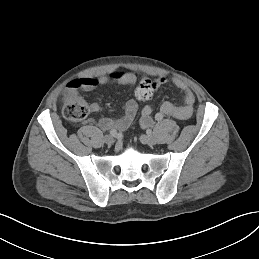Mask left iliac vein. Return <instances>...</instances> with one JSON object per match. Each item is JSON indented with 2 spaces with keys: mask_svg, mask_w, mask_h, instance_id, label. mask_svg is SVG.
<instances>
[{
  "mask_svg": "<svg viewBox=\"0 0 259 259\" xmlns=\"http://www.w3.org/2000/svg\"><path fill=\"white\" fill-rule=\"evenodd\" d=\"M141 140H142L143 143H145L149 146H153L157 143L156 137L152 134L141 136Z\"/></svg>",
  "mask_w": 259,
  "mask_h": 259,
  "instance_id": "1",
  "label": "left iliac vein"
}]
</instances>
